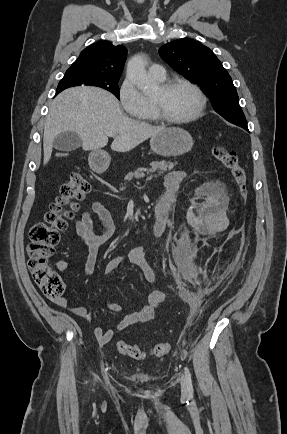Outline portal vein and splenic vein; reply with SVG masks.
Instances as JSON below:
<instances>
[{"label": "portal vein and splenic vein", "mask_w": 287, "mask_h": 434, "mask_svg": "<svg viewBox=\"0 0 287 434\" xmlns=\"http://www.w3.org/2000/svg\"><path fill=\"white\" fill-rule=\"evenodd\" d=\"M106 134H107L108 136H114V133H113V132H106Z\"/></svg>", "instance_id": "18ae733b"}]
</instances>
